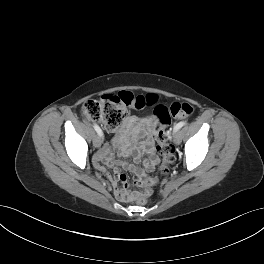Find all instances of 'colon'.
<instances>
[{"label": "colon", "instance_id": "1", "mask_svg": "<svg viewBox=\"0 0 264 264\" xmlns=\"http://www.w3.org/2000/svg\"><path fill=\"white\" fill-rule=\"evenodd\" d=\"M157 98L154 94L137 95L130 91H121L116 94H106L100 99L89 100L81 108V115L87 121L101 122L109 131L118 130L129 110H141L145 107H154V117L158 123L156 131L157 151L160 155L158 172L161 175L168 173V166L175 160V149L170 143L169 127L173 118L184 119L194 112V106L188 102H175L170 106L156 105ZM156 179L148 175L137 181L139 186L146 187V192L132 194L138 204L145 205L151 187Z\"/></svg>", "mask_w": 264, "mask_h": 264}]
</instances>
